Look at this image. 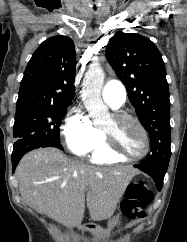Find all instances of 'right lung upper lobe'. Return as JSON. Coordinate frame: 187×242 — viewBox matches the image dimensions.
I'll list each match as a JSON object with an SVG mask.
<instances>
[{"label": "right lung upper lobe", "instance_id": "cb5924a9", "mask_svg": "<svg viewBox=\"0 0 187 242\" xmlns=\"http://www.w3.org/2000/svg\"><path fill=\"white\" fill-rule=\"evenodd\" d=\"M76 54L67 36L45 40L34 52L20 84L16 108L68 107L74 97Z\"/></svg>", "mask_w": 187, "mask_h": 242}]
</instances>
